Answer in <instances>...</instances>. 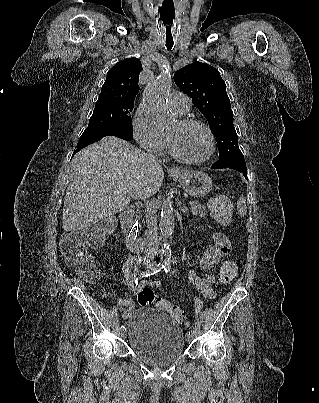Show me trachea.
Listing matches in <instances>:
<instances>
[{"label":"trachea","instance_id":"1","mask_svg":"<svg viewBox=\"0 0 319 403\" xmlns=\"http://www.w3.org/2000/svg\"><path fill=\"white\" fill-rule=\"evenodd\" d=\"M165 41H166V48L171 50L174 44L173 41V33L171 31V21H165Z\"/></svg>","mask_w":319,"mask_h":403}]
</instances>
